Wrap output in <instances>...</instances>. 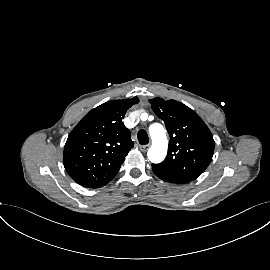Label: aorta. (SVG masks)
<instances>
[{
  "label": "aorta",
  "mask_w": 270,
  "mask_h": 270,
  "mask_svg": "<svg viewBox=\"0 0 270 270\" xmlns=\"http://www.w3.org/2000/svg\"><path fill=\"white\" fill-rule=\"evenodd\" d=\"M149 133L153 144L148 150V159L152 163H160L167 154L168 141L165 129L161 124L155 123L149 127Z\"/></svg>",
  "instance_id": "obj_1"
}]
</instances>
